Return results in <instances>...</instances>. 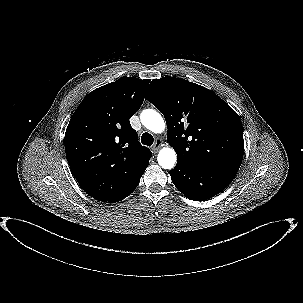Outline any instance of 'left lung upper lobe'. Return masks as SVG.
I'll return each mask as SVG.
<instances>
[{"label": "left lung upper lobe", "instance_id": "1", "mask_svg": "<svg viewBox=\"0 0 303 303\" xmlns=\"http://www.w3.org/2000/svg\"><path fill=\"white\" fill-rule=\"evenodd\" d=\"M147 99L164 115L177 162L240 167L243 126L238 114L213 91L174 77L153 80Z\"/></svg>", "mask_w": 303, "mask_h": 303}]
</instances>
